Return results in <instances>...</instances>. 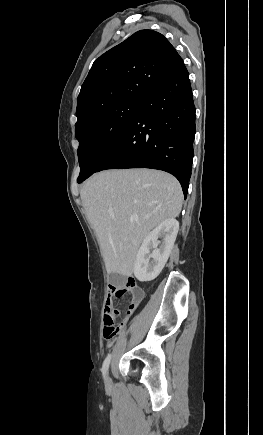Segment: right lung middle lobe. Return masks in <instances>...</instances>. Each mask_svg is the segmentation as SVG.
Instances as JSON below:
<instances>
[{
	"mask_svg": "<svg viewBox=\"0 0 263 435\" xmlns=\"http://www.w3.org/2000/svg\"><path fill=\"white\" fill-rule=\"evenodd\" d=\"M142 103V100L123 99L106 104L91 112L75 127L81 168L78 183L96 172L120 140Z\"/></svg>",
	"mask_w": 263,
	"mask_h": 435,
	"instance_id": "1",
	"label": "right lung middle lobe"
}]
</instances>
